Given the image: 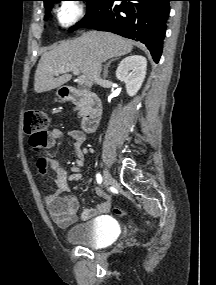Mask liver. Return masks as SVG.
<instances>
[{"label":"liver","instance_id":"obj_1","mask_svg":"<svg viewBox=\"0 0 216 285\" xmlns=\"http://www.w3.org/2000/svg\"><path fill=\"white\" fill-rule=\"evenodd\" d=\"M132 49V41L112 33L97 31L61 42L41 56L35 73L34 90L36 93H42L62 86L72 76L67 72L61 76L56 73L69 67H77L91 87L95 82L93 67L96 61L105 62L113 57L128 54Z\"/></svg>","mask_w":216,"mask_h":285}]
</instances>
